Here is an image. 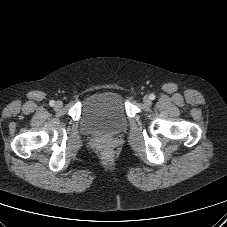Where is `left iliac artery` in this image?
Instances as JSON below:
<instances>
[{"instance_id": "44dca946", "label": "left iliac artery", "mask_w": 227, "mask_h": 227, "mask_svg": "<svg viewBox=\"0 0 227 227\" xmlns=\"http://www.w3.org/2000/svg\"><path fill=\"white\" fill-rule=\"evenodd\" d=\"M149 97H150L151 100H154L155 99V95L154 94H150Z\"/></svg>"}]
</instances>
